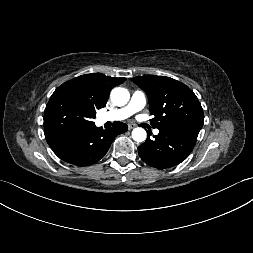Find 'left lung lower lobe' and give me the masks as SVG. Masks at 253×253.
<instances>
[{
	"instance_id": "1",
	"label": "left lung lower lobe",
	"mask_w": 253,
	"mask_h": 253,
	"mask_svg": "<svg viewBox=\"0 0 253 253\" xmlns=\"http://www.w3.org/2000/svg\"><path fill=\"white\" fill-rule=\"evenodd\" d=\"M198 134L159 130V134L148 138L138 147L141 159L152 167L166 169L184 161L197 141Z\"/></svg>"
}]
</instances>
